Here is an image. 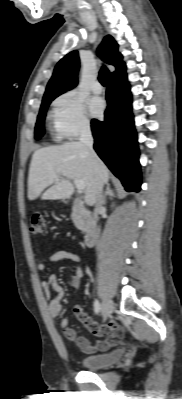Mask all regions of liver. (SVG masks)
Wrapping results in <instances>:
<instances>
[{"mask_svg": "<svg viewBox=\"0 0 182 399\" xmlns=\"http://www.w3.org/2000/svg\"><path fill=\"white\" fill-rule=\"evenodd\" d=\"M58 179H54V176ZM110 177L106 165L93 158L78 141L37 149L32 156L28 176V199L58 200L71 196V180L85 184V202L93 206L97 201L96 185L100 178L107 183ZM49 187L46 191H44Z\"/></svg>", "mask_w": 182, "mask_h": 399, "instance_id": "liver-1", "label": "liver"}]
</instances>
